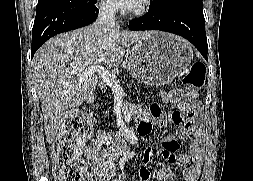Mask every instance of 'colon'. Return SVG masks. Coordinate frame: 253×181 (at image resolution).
Listing matches in <instances>:
<instances>
[{"mask_svg":"<svg viewBox=\"0 0 253 181\" xmlns=\"http://www.w3.org/2000/svg\"><path fill=\"white\" fill-rule=\"evenodd\" d=\"M206 68L202 62L192 64L183 79V87L189 96L199 92L205 80ZM192 118L194 110H184ZM91 133V126L83 115L71 117L63 126L53 147L54 178L56 181H93L86 174L85 164L81 158L80 147Z\"/></svg>","mask_w":253,"mask_h":181,"instance_id":"1","label":"colon"}]
</instances>
